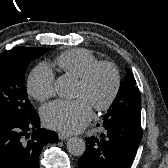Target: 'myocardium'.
Returning a JSON list of instances; mask_svg holds the SVG:
<instances>
[{
	"instance_id": "myocardium-1",
	"label": "myocardium",
	"mask_w": 168,
	"mask_h": 168,
	"mask_svg": "<svg viewBox=\"0 0 168 168\" xmlns=\"http://www.w3.org/2000/svg\"><path fill=\"white\" fill-rule=\"evenodd\" d=\"M101 69H107L111 73L112 85L107 97L103 101L93 105L94 109L99 112L108 110L113 105L119 93L121 78L117 66L110 61H97L90 66L81 77H79V83L84 87H88Z\"/></svg>"
}]
</instances>
